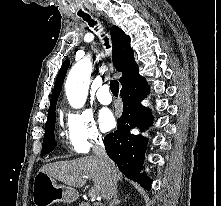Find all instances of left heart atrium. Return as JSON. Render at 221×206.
Here are the masks:
<instances>
[{
	"label": "left heart atrium",
	"instance_id": "1",
	"mask_svg": "<svg viewBox=\"0 0 221 206\" xmlns=\"http://www.w3.org/2000/svg\"><path fill=\"white\" fill-rule=\"evenodd\" d=\"M98 119L100 127L103 131L110 130L115 124L114 116L112 112L107 108H103L99 111Z\"/></svg>",
	"mask_w": 221,
	"mask_h": 206
}]
</instances>
